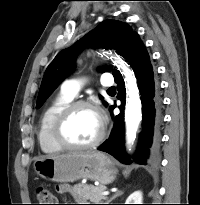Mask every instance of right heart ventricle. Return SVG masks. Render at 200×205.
<instances>
[{
  "instance_id": "obj_1",
  "label": "right heart ventricle",
  "mask_w": 200,
  "mask_h": 205,
  "mask_svg": "<svg viewBox=\"0 0 200 205\" xmlns=\"http://www.w3.org/2000/svg\"><path fill=\"white\" fill-rule=\"evenodd\" d=\"M72 101V97L61 92L43 110L38 129V141L43 152L51 154L62 150L53 138V126L59 113Z\"/></svg>"
}]
</instances>
